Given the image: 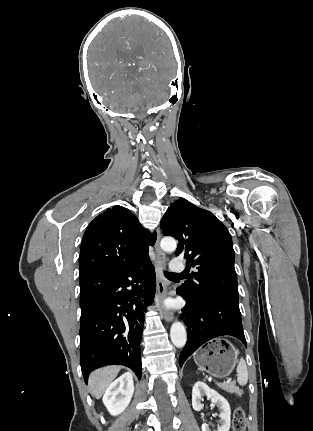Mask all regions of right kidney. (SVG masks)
Listing matches in <instances>:
<instances>
[{
    "label": "right kidney",
    "instance_id": "right-kidney-1",
    "mask_svg": "<svg viewBox=\"0 0 313 431\" xmlns=\"http://www.w3.org/2000/svg\"><path fill=\"white\" fill-rule=\"evenodd\" d=\"M133 393V375L124 373L108 386L103 396V404L111 415H118L127 408Z\"/></svg>",
    "mask_w": 313,
    "mask_h": 431
}]
</instances>
